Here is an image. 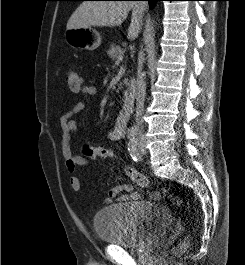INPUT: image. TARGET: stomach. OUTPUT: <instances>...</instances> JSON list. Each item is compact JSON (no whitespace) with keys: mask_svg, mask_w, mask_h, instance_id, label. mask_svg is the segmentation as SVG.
<instances>
[{"mask_svg":"<svg viewBox=\"0 0 245 265\" xmlns=\"http://www.w3.org/2000/svg\"><path fill=\"white\" fill-rule=\"evenodd\" d=\"M65 40L68 45L76 50L92 51L101 44L100 34L91 27L66 30Z\"/></svg>","mask_w":245,"mask_h":265,"instance_id":"0dacf381","label":"stomach"}]
</instances>
